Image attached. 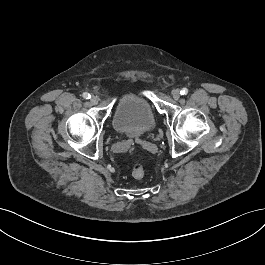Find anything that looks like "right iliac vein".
Masks as SVG:
<instances>
[{
    "label": "right iliac vein",
    "instance_id": "right-iliac-vein-1",
    "mask_svg": "<svg viewBox=\"0 0 265 265\" xmlns=\"http://www.w3.org/2000/svg\"><path fill=\"white\" fill-rule=\"evenodd\" d=\"M90 102L94 105L98 104L99 102V99L95 96H92L91 99H90Z\"/></svg>",
    "mask_w": 265,
    "mask_h": 265
}]
</instances>
